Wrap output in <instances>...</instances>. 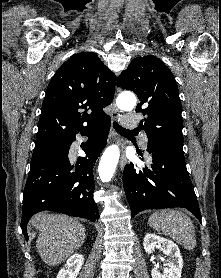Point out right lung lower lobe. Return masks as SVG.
<instances>
[{
	"label": "right lung lower lobe",
	"instance_id": "1",
	"mask_svg": "<svg viewBox=\"0 0 221 278\" xmlns=\"http://www.w3.org/2000/svg\"><path fill=\"white\" fill-rule=\"evenodd\" d=\"M109 130L110 117L60 140L39 161L31 164L24 189L21 220L27 240V223L40 211H56L92 222L98 220V208L93 200V166L106 146ZM78 133L88 137L83 148L86 157H80L73 165L68 152Z\"/></svg>",
	"mask_w": 221,
	"mask_h": 278
}]
</instances>
